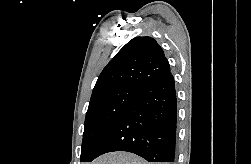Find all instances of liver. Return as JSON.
I'll list each match as a JSON object with an SVG mask.
<instances>
[{
	"label": "liver",
	"mask_w": 251,
	"mask_h": 164,
	"mask_svg": "<svg viewBox=\"0 0 251 164\" xmlns=\"http://www.w3.org/2000/svg\"><path fill=\"white\" fill-rule=\"evenodd\" d=\"M91 164H149V163L131 153L113 152L99 157Z\"/></svg>",
	"instance_id": "liver-1"
}]
</instances>
